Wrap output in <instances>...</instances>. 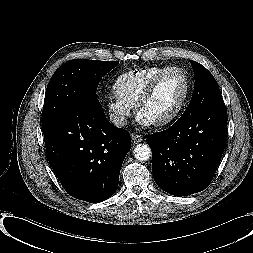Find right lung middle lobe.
Returning <instances> with one entry per match:
<instances>
[{
	"instance_id": "dd1d6c3e",
	"label": "right lung middle lobe",
	"mask_w": 253,
	"mask_h": 253,
	"mask_svg": "<svg viewBox=\"0 0 253 253\" xmlns=\"http://www.w3.org/2000/svg\"><path fill=\"white\" fill-rule=\"evenodd\" d=\"M117 61L74 59L64 63L51 77L44 99L42 128L46 129L77 103L97 99L96 90Z\"/></svg>"
}]
</instances>
